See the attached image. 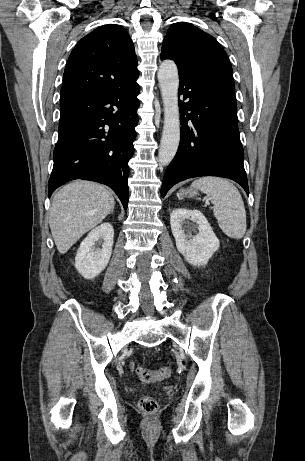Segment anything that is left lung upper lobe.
I'll use <instances>...</instances> for the list:
<instances>
[{
	"instance_id": "5c2ea615",
	"label": "left lung upper lobe",
	"mask_w": 305,
	"mask_h": 461,
	"mask_svg": "<svg viewBox=\"0 0 305 461\" xmlns=\"http://www.w3.org/2000/svg\"><path fill=\"white\" fill-rule=\"evenodd\" d=\"M161 59L174 60L179 76L191 79L228 77L233 80L231 63L217 40L185 22L175 23L169 28Z\"/></svg>"
}]
</instances>
